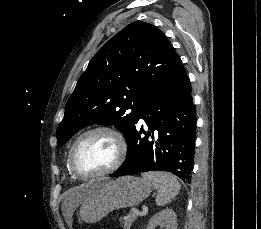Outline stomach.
Returning <instances> with one entry per match:
<instances>
[{
  "mask_svg": "<svg viewBox=\"0 0 261 229\" xmlns=\"http://www.w3.org/2000/svg\"><path fill=\"white\" fill-rule=\"evenodd\" d=\"M92 191L80 207L85 223H98L111 211L139 205L151 195L152 185L141 177H120L115 181L95 179L84 183Z\"/></svg>",
  "mask_w": 261,
  "mask_h": 229,
  "instance_id": "0dacf381",
  "label": "stomach"
}]
</instances>
